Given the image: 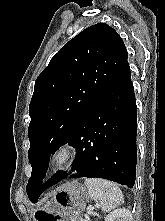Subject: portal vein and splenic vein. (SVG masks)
<instances>
[{
  "instance_id": "obj_1",
  "label": "portal vein and splenic vein",
  "mask_w": 165,
  "mask_h": 221,
  "mask_svg": "<svg viewBox=\"0 0 165 221\" xmlns=\"http://www.w3.org/2000/svg\"><path fill=\"white\" fill-rule=\"evenodd\" d=\"M92 209H93V207H88V208H87L88 211H91ZM84 221H89V219H86V220H84Z\"/></svg>"
}]
</instances>
